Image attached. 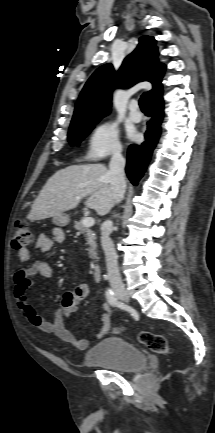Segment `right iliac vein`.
Segmentation results:
<instances>
[{"instance_id": "obj_1", "label": "right iliac vein", "mask_w": 215, "mask_h": 433, "mask_svg": "<svg viewBox=\"0 0 215 433\" xmlns=\"http://www.w3.org/2000/svg\"><path fill=\"white\" fill-rule=\"evenodd\" d=\"M117 296L120 299H122V300H124L126 302H129V294L127 292H125V291L117 292Z\"/></svg>"}]
</instances>
